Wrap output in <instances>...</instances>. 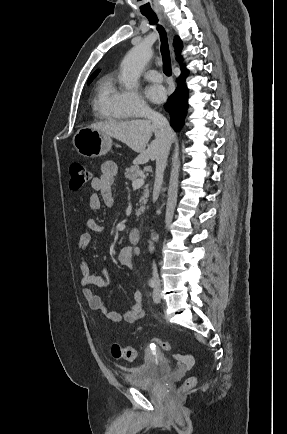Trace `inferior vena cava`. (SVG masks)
I'll use <instances>...</instances> for the list:
<instances>
[{
    "label": "inferior vena cava",
    "instance_id": "obj_1",
    "mask_svg": "<svg viewBox=\"0 0 287 434\" xmlns=\"http://www.w3.org/2000/svg\"><path fill=\"white\" fill-rule=\"evenodd\" d=\"M145 117L152 122L155 128L156 139L159 144V150L156 156V172L153 188V197L157 199L161 190L163 174L170 151L172 131L167 119L162 114L151 109H146ZM153 278L157 283L159 282V276L155 263H153Z\"/></svg>",
    "mask_w": 287,
    "mask_h": 434
}]
</instances>
